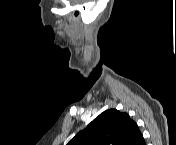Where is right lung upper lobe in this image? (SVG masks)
Instances as JSON below:
<instances>
[{
  "label": "right lung upper lobe",
  "mask_w": 176,
  "mask_h": 145,
  "mask_svg": "<svg viewBox=\"0 0 176 145\" xmlns=\"http://www.w3.org/2000/svg\"><path fill=\"white\" fill-rule=\"evenodd\" d=\"M67 145H145V141L127 113L110 109L96 117Z\"/></svg>",
  "instance_id": "cb5924a9"
}]
</instances>
